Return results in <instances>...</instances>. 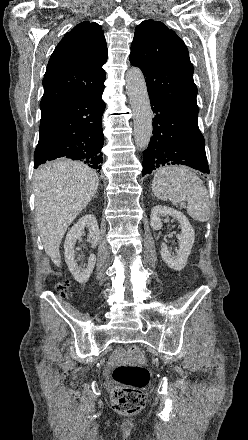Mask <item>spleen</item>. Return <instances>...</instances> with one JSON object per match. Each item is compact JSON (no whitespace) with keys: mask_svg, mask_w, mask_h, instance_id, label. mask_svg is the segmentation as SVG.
Wrapping results in <instances>:
<instances>
[{"mask_svg":"<svg viewBox=\"0 0 248 440\" xmlns=\"http://www.w3.org/2000/svg\"><path fill=\"white\" fill-rule=\"evenodd\" d=\"M152 192L173 205L187 201V213L199 222H206L210 216L209 196L203 181L190 169L183 166L160 168L152 181Z\"/></svg>","mask_w":248,"mask_h":440,"instance_id":"obj_1","label":"spleen"}]
</instances>
